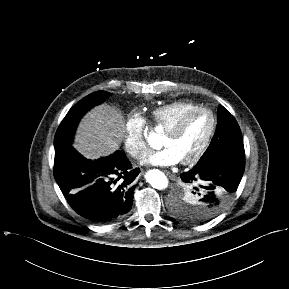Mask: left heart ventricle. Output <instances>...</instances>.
I'll use <instances>...</instances> for the list:
<instances>
[{
	"label": "left heart ventricle",
	"instance_id": "obj_1",
	"mask_svg": "<svg viewBox=\"0 0 289 289\" xmlns=\"http://www.w3.org/2000/svg\"><path fill=\"white\" fill-rule=\"evenodd\" d=\"M212 125L210 115L198 113L192 116L177 136L164 135L162 145L175 151L181 160L190 157L204 142Z\"/></svg>",
	"mask_w": 289,
	"mask_h": 289
}]
</instances>
